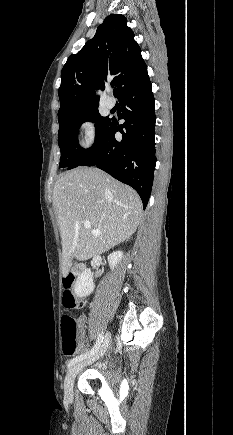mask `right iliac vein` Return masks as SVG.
Returning a JSON list of instances; mask_svg holds the SVG:
<instances>
[{"label": "right iliac vein", "instance_id": "obj_1", "mask_svg": "<svg viewBox=\"0 0 233 435\" xmlns=\"http://www.w3.org/2000/svg\"><path fill=\"white\" fill-rule=\"evenodd\" d=\"M108 344H109V335H107L101 349L96 353L94 357H88L86 360L75 364L69 369L64 381V390H65L66 398L68 399L72 398L74 380L78 372L82 369L83 365L91 364L95 359L102 356Z\"/></svg>", "mask_w": 233, "mask_h": 435}]
</instances>
